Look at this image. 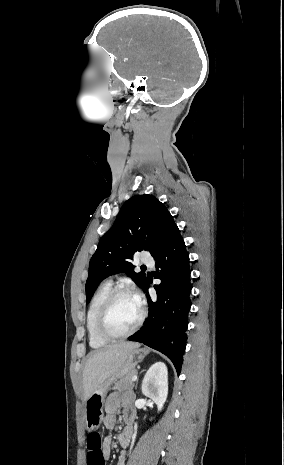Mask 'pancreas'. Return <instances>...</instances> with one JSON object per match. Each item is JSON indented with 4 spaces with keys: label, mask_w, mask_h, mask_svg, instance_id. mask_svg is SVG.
Segmentation results:
<instances>
[{
    "label": "pancreas",
    "mask_w": 284,
    "mask_h": 465,
    "mask_svg": "<svg viewBox=\"0 0 284 465\" xmlns=\"http://www.w3.org/2000/svg\"><path fill=\"white\" fill-rule=\"evenodd\" d=\"M137 375L136 371H130L124 377H121L120 381L115 383L114 391H118V393H125V391H132L134 387V383L132 381V377Z\"/></svg>",
    "instance_id": "obj_1"
}]
</instances>
